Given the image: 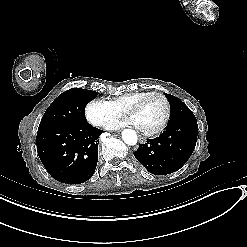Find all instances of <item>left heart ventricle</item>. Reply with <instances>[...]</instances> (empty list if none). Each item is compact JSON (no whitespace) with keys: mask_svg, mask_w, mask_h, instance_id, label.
<instances>
[{"mask_svg":"<svg viewBox=\"0 0 247 247\" xmlns=\"http://www.w3.org/2000/svg\"><path fill=\"white\" fill-rule=\"evenodd\" d=\"M164 115V100L159 96H152L142 101L141 107L133 119L139 128L154 129L161 124Z\"/></svg>","mask_w":247,"mask_h":247,"instance_id":"left-heart-ventricle-1","label":"left heart ventricle"}]
</instances>
